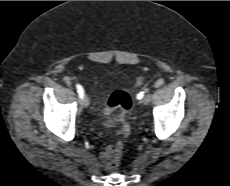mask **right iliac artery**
<instances>
[{
  "mask_svg": "<svg viewBox=\"0 0 230 186\" xmlns=\"http://www.w3.org/2000/svg\"><path fill=\"white\" fill-rule=\"evenodd\" d=\"M76 88H77V92H78L80 98H82L83 95H84V90H83L82 86L79 85V84H77V85H76Z\"/></svg>",
  "mask_w": 230,
  "mask_h": 186,
  "instance_id": "obj_1",
  "label": "right iliac artery"
}]
</instances>
